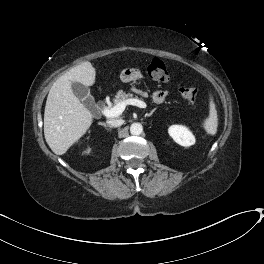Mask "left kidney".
<instances>
[{"instance_id": "obj_1", "label": "left kidney", "mask_w": 264, "mask_h": 264, "mask_svg": "<svg viewBox=\"0 0 264 264\" xmlns=\"http://www.w3.org/2000/svg\"><path fill=\"white\" fill-rule=\"evenodd\" d=\"M169 135L181 146L188 147L195 143V137L191 131L183 125H171L168 128Z\"/></svg>"}]
</instances>
